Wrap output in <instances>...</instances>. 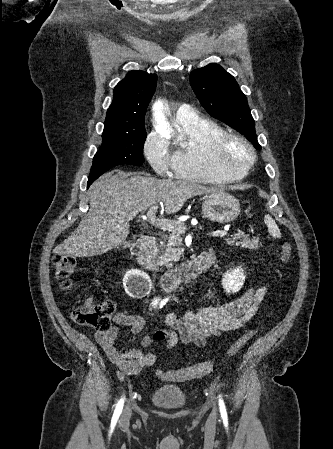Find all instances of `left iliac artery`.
Instances as JSON below:
<instances>
[{
    "label": "left iliac artery",
    "mask_w": 333,
    "mask_h": 449,
    "mask_svg": "<svg viewBox=\"0 0 333 449\" xmlns=\"http://www.w3.org/2000/svg\"><path fill=\"white\" fill-rule=\"evenodd\" d=\"M219 407H220V412H221L223 419H227V412H226L225 404L220 395H219Z\"/></svg>",
    "instance_id": "44dca946"
}]
</instances>
